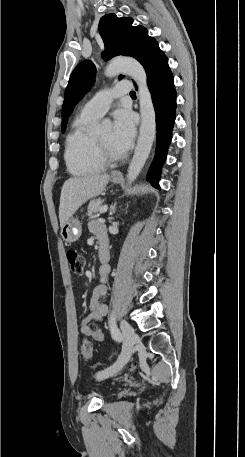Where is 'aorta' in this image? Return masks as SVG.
Wrapping results in <instances>:
<instances>
[{
    "mask_svg": "<svg viewBox=\"0 0 245 457\" xmlns=\"http://www.w3.org/2000/svg\"><path fill=\"white\" fill-rule=\"evenodd\" d=\"M119 73L129 75L138 85V97L141 113V126L139 138L133 158L128 167V182H133L145 165L156 137V114L152 102L151 93L147 86V75L143 66L133 58H118L113 60L106 68L105 75L114 77ZM109 125L103 121L98 129Z\"/></svg>",
    "mask_w": 245,
    "mask_h": 457,
    "instance_id": "1",
    "label": "aorta"
}]
</instances>
